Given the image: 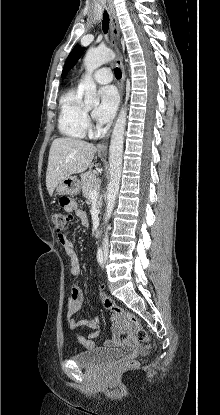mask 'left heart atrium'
<instances>
[{
  "mask_svg": "<svg viewBox=\"0 0 220 415\" xmlns=\"http://www.w3.org/2000/svg\"><path fill=\"white\" fill-rule=\"evenodd\" d=\"M100 103L94 111V117L100 123L110 122L117 110L118 94L113 86H105L99 91Z\"/></svg>",
  "mask_w": 220,
  "mask_h": 415,
  "instance_id": "39dd6f15",
  "label": "left heart atrium"
}]
</instances>
